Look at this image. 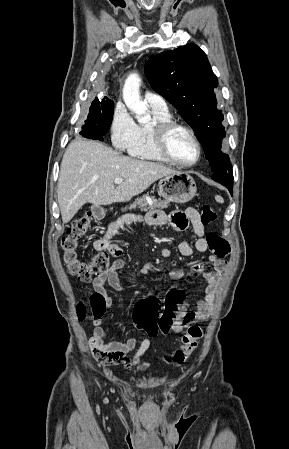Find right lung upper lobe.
<instances>
[{"instance_id":"obj_1","label":"right lung upper lobe","mask_w":289,"mask_h":449,"mask_svg":"<svg viewBox=\"0 0 289 449\" xmlns=\"http://www.w3.org/2000/svg\"><path fill=\"white\" fill-rule=\"evenodd\" d=\"M103 100H110V99H108L107 97H105V98H103ZM110 101H112V100H110Z\"/></svg>"}]
</instances>
